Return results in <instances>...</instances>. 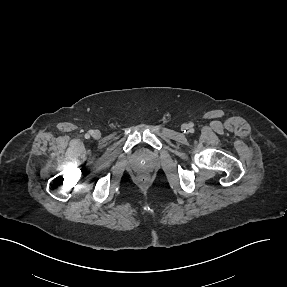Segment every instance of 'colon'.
Listing matches in <instances>:
<instances>
[{"mask_svg":"<svg viewBox=\"0 0 287 287\" xmlns=\"http://www.w3.org/2000/svg\"><path fill=\"white\" fill-rule=\"evenodd\" d=\"M138 180L140 183L142 184H145L148 182V177L145 175V174H141L139 177H138Z\"/></svg>","mask_w":287,"mask_h":287,"instance_id":"1","label":"colon"}]
</instances>
